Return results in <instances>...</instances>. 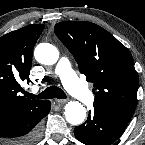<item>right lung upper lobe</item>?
<instances>
[{
  "label": "right lung upper lobe",
  "mask_w": 145,
  "mask_h": 145,
  "mask_svg": "<svg viewBox=\"0 0 145 145\" xmlns=\"http://www.w3.org/2000/svg\"><path fill=\"white\" fill-rule=\"evenodd\" d=\"M44 27L32 24L0 38V121L32 110L44 101L19 95L23 90L19 82L28 80L33 47Z\"/></svg>",
  "instance_id": "cb5924a9"
}]
</instances>
